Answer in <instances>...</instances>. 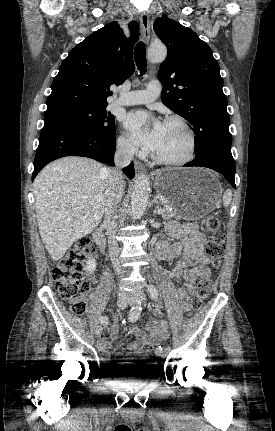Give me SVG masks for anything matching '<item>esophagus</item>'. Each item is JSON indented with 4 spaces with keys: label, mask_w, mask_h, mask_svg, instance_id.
Returning a JSON list of instances; mask_svg holds the SVG:
<instances>
[{
    "label": "esophagus",
    "mask_w": 275,
    "mask_h": 431,
    "mask_svg": "<svg viewBox=\"0 0 275 431\" xmlns=\"http://www.w3.org/2000/svg\"><path fill=\"white\" fill-rule=\"evenodd\" d=\"M143 40L146 44L149 43L150 40V19L149 16L143 12L139 17ZM135 170L138 173L145 172V166L140 161H135Z\"/></svg>",
    "instance_id": "34e87169"
}]
</instances>
